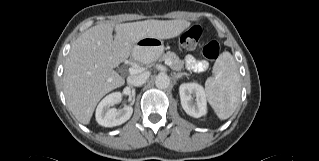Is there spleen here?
Listing matches in <instances>:
<instances>
[{
	"label": "spleen",
	"instance_id": "obj_1",
	"mask_svg": "<svg viewBox=\"0 0 319 161\" xmlns=\"http://www.w3.org/2000/svg\"><path fill=\"white\" fill-rule=\"evenodd\" d=\"M213 74L205 83L207 100L218 118L225 120L236 110L241 95L240 75L229 52H223L216 59Z\"/></svg>",
	"mask_w": 319,
	"mask_h": 161
}]
</instances>
